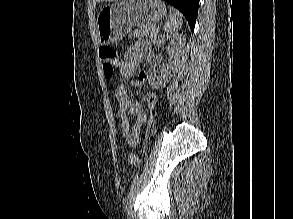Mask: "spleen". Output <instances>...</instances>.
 <instances>
[{
	"label": "spleen",
	"instance_id": "1",
	"mask_svg": "<svg viewBox=\"0 0 293 219\" xmlns=\"http://www.w3.org/2000/svg\"><path fill=\"white\" fill-rule=\"evenodd\" d=\"M182 15L174 8H170L169 19L164 25V30L167 33L175 34L182 27Z\"/></svg>",
	"mask_w": 293,
	"mask_h": 219
}]
</instances>
